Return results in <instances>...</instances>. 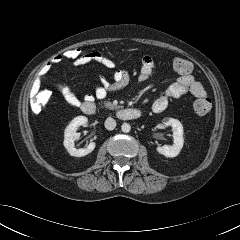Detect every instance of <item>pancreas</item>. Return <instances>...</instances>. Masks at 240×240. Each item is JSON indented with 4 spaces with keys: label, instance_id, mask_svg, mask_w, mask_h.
<instances>
[{
    "label": "pancreas",
    "instance_id": "1",
    "mask_svg": "<svg viewBox=\"0 0 240 240\" xmlns=\"http://www.w3.org/2000/svg\"><path fill=\"white\" fill-rule=\"evenodd\" d=\"M103 104H104V106H105L106 108H108V109H110V110H116V109L119 108V106L113 104V103L110 102V101H104Z\"/></svg>",
    "mask_w": 240,
    "mask_h": 240
}]
</instances>
